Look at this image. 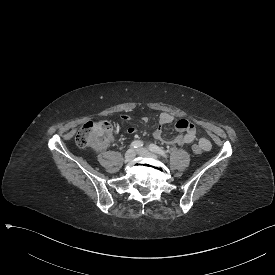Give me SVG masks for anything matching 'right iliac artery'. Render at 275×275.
I'll use <instances>...</instances> for the list:
<instances>
[{
	"mask_svg": "<svg viewBox=\"0 0 275 275\" xmlns=\"http://www.w3.org/2000/svg\"><path fill=\"white\" fill-rule=\"evenodd\" d=\"M142 146H143V143L141 141H139V140L133 141L130 144V147L134 148V149L141 148Z\"/></svg>",
	"mask_w": 275,
	"mask_h": 275,
	"instance_id": "1",
	"label": "right iliac artery"
}]
</instances>
